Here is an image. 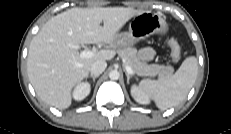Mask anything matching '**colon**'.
I'll return each instance as SVG.
<instances>
[{
  "mask_svg": "<svg viewBox=\"0 0 231 134\" xmlns=\"http://www.w3.org/2000/svg\"><path fill=\"white\" fill-rule=\"evenodd\" d=\"M167 45L170 48L172 59L178 61L180 59L181 50L177 41L170 39L167 41Z\"/></svg>",
  "mask_w": 231,
  "mask_h": 134,
  "instance_id": "obj_1",
  "label": "colon"
}]
</instances>
